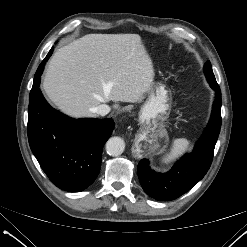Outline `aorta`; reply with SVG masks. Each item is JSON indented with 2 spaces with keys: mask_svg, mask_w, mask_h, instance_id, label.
I'll list each match as a JSON object with an SVG mask.
<instances>
[{
  "mask_svg": "<svg viewBox=\"0 0 247 247\" xmlns=\"http://www.w3.org/2000/svg\"><path fill=\"white\" fill-rule=\"evenodd\" d=\"M106 152L110 156H119L124 152L125 142L120 137H111L106 142Z\"/></svg>",
  "mask_w": 247,
  "mask_h": 247,
  "instance_id": "aorta-1",
  "label": "aorta"
}]
</instances>
